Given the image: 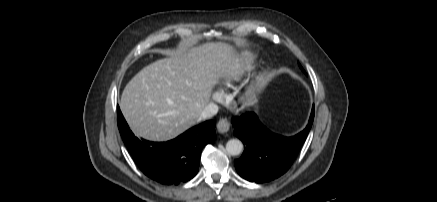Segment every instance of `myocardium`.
Returning a JSON list of instances; mask_svg holds the SVG:
<instances>
[{
    "label": "myocardium",
    "instance_id": "1",
    "mask_svg": "<svg viewBox=\"0 0 437 202\" xmlns=\"http://www.w3.org/2000/svg\"><path fill=\"white\" fill-rule=\"evenodd\" d=\"M260 88H261L260 82L252 83L244 94V97H243L244 101L246 103H254L257 99V95L260 91Z\"/></svg>",
    "mask_w": 437,
    "mask_h": 202
}]
</instances>
